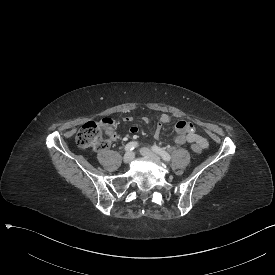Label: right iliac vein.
I'll return each mask as SVG.
<instances>
[{
  "mask_svg": "<svg viewBox=\"0 0 275 275\" xmlns=\"http://www.w3.org/2000/svg\"><path fill=\"white\" fill-rule=\"evenodd\" d=\"M134 159V153L133 152H127L123 157V162L125 164H129Z\"/></svg>",
  "mask_w": 275,
  "mask_h": 275,
  "instance_id": "right-iliac-vein-1",
  "label": "right iliac vein"
}]
</instances>
